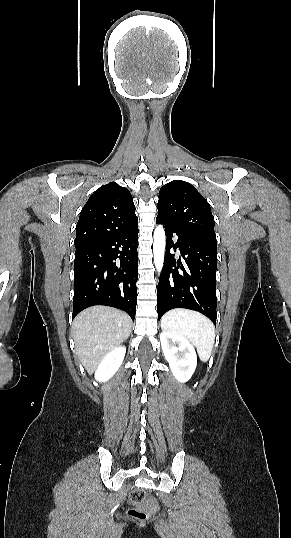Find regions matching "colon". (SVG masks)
I'll use <instances>...</instances> for the list:
<instances>
[{
  "label": "colon",
  "mask_w": 291,
  "mask_h": 538,
  "mask_svg": "<svg viewBox=\"0 0 291 538\" xmlns=\"http://www.w3.org/2000/svg\"><path fill=\"white\" fill-rule=\"evenodd\" d=\"M145 493L142 490H133L129 495L130 503L132 507L129 509L128 514L138 520H147L151 517V511L146 508H141L139 505L144 501Z\"/></svg>",
  "instance_id": "1"
}]
</instances>
